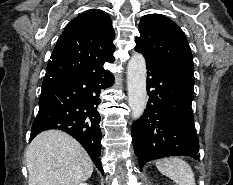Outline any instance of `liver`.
<instances>
[{
    "instance_id": "liver-1",
    "label": "liver",
    "mask_w": 233,
    "mask_h": 185,
    "mask_svg": "<svg viewBox=\"0 0 233 185\" xmlns=\"http://www.w3.org/2000/svg\"><path fill=\"white\" fill-rule=\"evenodd\" d=\"M25 163L29 185H78L93 173L84 148L60 130L38 134L26 149Z\"/></svg>"
}]
</instances>
